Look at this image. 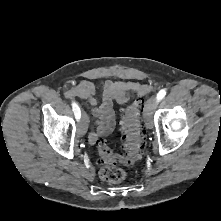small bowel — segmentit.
Returning a JSON list of instances; mask_svg holds the SVG:
<instances>
[{
  "instance_id": "c3829d8e",
  "label": "small bowel",
  "mask_w": 221,
  "mask_h": 221,
  "mask_svg": "<svg viewBox=\"0 0 221 221\" xmlns=\"http://www.w3.org/2000/svg\"><path fill=\"white\" fill-rule=\"evenodd\" d=\"M148 87L135 81H111L104 83L101 101L96 98V87L92 81L82 80L65 92L67 98L79 97L89 103L91 113L95 119L94 131L89 135V142L96 144L100 136L108 135L114 128L113 100L125 103L130 93L142 95Z\"/></svg>"
}]
</instances>
